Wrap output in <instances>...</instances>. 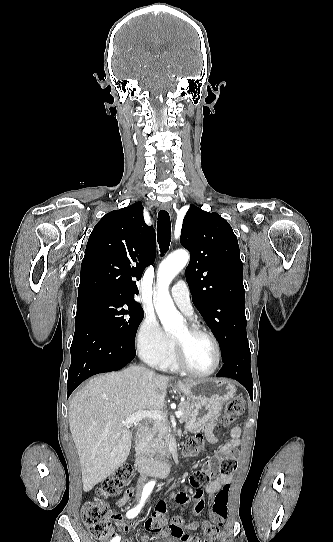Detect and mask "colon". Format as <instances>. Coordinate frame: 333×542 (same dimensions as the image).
<instances>
[{"label":"colon","mask_w":333,"mask_h":542,"mask_svg":"<svg viewBox=\"0 0 333 542\" xmlns=\"http://www.w3.org/2000/svg\"><path fill=\"white\" fill-rule=\"evenodd\" d=\"M245 401L241 396L234 397L228 402L225 412L219 421V429L229 427L243 413ZM204 449V439L201 434H196L187 439L182 449V455L185 458L198 456ZM237 469V462L233 458H222L219 464L213 469L211 475L225 474L232 475ZM133 467L128 464L119 466L113 475L105 478L101 483V489L95 496L85 501L82 506V518L88 531L96 538L110 536L114 532L111 525L116 517L109 512L106 498L118 495L121 488L131 479ZM211 480L210 474L205 470L195 471L190 478L191 488L195 490L194 497H199L200 505H194L191 512L194 516L203 514L205 502L202 498L200 489L207 486ZM229 486L225 485L214 496L213 501L208 505L210 518L204 522L203 531L209 538L217 537L221 531L228 513ZM203 506V507H202ZM157 511L153 512L145 523V529L148 533H154L158 538H164L165 534L176 539L187 538L184 530L178 524L184 523L183 517L171 516L170 524L164 516L168 512L169 503L167 500H157L155 503ZM173 525V526H172Z\"/></svg>","instance_id":"5ec220e1"}]
</instances>
